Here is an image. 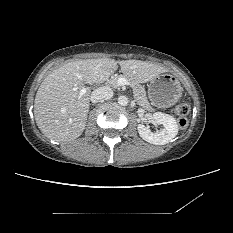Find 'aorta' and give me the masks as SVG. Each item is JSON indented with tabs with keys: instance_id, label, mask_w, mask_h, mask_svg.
<instances>
[{
	"instance_id": "obj_1",
	"label": "aorta",
	"mask_w": 233,
	"mask_h": 233,
	"mask_svg": "<svg viewBox=\"0 0 233 233\" xmlns=\"http://www.w3.org/2000/svg\"><path fill=\"white\" fill-rule=\"evenodd\" d=\"M129 100L128 97L125 95H121L118 97V104L121 106H126L128 104Z\"/></svg>"
}]
</instances>
